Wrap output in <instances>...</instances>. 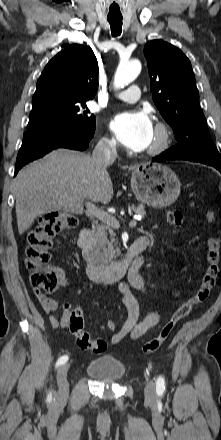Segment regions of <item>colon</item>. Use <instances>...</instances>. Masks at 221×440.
<instances>
[{"label":"colon","instance_id":"obj_1","mask_svg":"<svg viewBox=\"0 0 221 440\" xmlns=\"http://www.w3.org/2000/svg\"><path fill=\"white\" fill-rule=\"evenodd\" d=\"M170 225L180 227L184 225L185 214L177 209H171L166 215ZM207 221L213 222L215 215L208 213ZM77 225V218L69 213L50 212L45 214L39 224L28 233V245L25 251V265L30 270V282L33 288L45 295L54 293L60 285V275L47 268L50 261V249L55 236L63 231L73 229ZM207 268L202 282L195 293L183 302L163 324L158 335L145 342L141 350L149 354L157 351L171 335L178 321L186 317L191 310L198 304L205 302L212 290L215 288L220 275V240L211 237L207 241ZM104 325L116 332L119 329L117 320L106 318ZM69 330L76 339L79 348L90 350L93 353H104L107 348V342L104 339L91 338L84 326V313L80 306H75L69 317Z\"/></svg>","mask_w":221,"mask_h":440}]
</instances>
